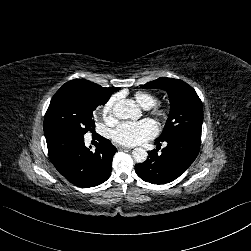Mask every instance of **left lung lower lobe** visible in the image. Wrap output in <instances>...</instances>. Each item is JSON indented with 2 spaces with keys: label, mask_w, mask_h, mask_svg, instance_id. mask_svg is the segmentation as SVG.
Segmentation results:
<instances>
[{
  "label": "left lung lower lobe",
  "mask_w": 251,
  "mask_h": 251,
  "mask_svg": "<svg viewBox=\"0 0 251 251\" xmlns=\"http://www.w3.org/2000/svg\"><path fill=\"white\" fill-rule=\"evenodd\" d=\"M165 142L167 146L161 153L152 150L145 162L135 165V171L142 180L159 185L177 179L197 157L201 139L190 135H176ZM157 143L159 145L160 142Z\"/></svg>",
  "instance_id": "0a47b994"
}]
</instances>
